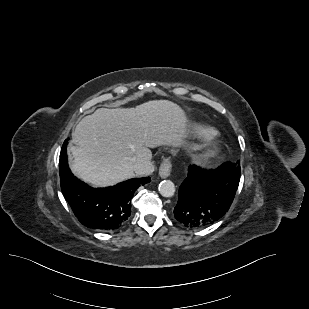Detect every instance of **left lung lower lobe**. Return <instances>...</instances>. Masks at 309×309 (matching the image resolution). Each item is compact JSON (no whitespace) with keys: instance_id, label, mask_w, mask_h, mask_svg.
I'll list each match as a JSON object with an SVG mask.
<instances>
[{"instance_id":"left-lung-lower-lobe-1","label":"left lung lower lobe","mask_w":309,"mask_h":309,"mask_svg":"<svg viewBox=\"0 0 309 309\" xmlns=\"http://www.w3.org/2000/svg\"><path fill=\"white\" fill-rule=\"evenodd\" d=\"M241 169L225 162L215 170H202L193 165L179 188L175 218L185 227L210 226L229 210L236 194Z\"/></svg>"}]
</instances>
